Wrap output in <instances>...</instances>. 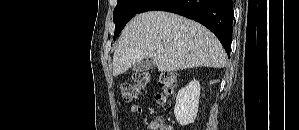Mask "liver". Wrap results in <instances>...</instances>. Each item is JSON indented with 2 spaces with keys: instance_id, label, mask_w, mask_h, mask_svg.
<instances>
[{
  "instance_id": "1",
  "label": "liver",
  "mask_w": 299,
  "mask_h": 130,
  "mask_svg": "<svg viewBox=\"0 0 299 130\" xmlns=\"http://www.w3.org/2000/svg\"><path fill=\"white\" fill-rule=\"evenodd\" d=\"M146 58L153 59L159 72L222 68L227 64V55L212 32L193 20L164 11L138 14L125 26L113 56V75Z\"/></svg>"
}]
</instances>
